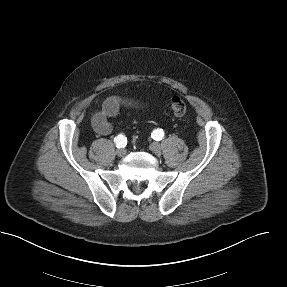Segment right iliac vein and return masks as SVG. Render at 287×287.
Instances as JSON below:
<instances>
[{
    "instance_id": "63e3f726",
    "label": "right iliac vein",
    "mask_w": 287,
    "mask_h": 287,
    "mask_svg": "<svg viewBox=\"0 0 287 287\" xmlns=\"http://www.w3.org/2000/svg\"><path fill=\"white\" fill-rule=\"evenodd\" d=\"M116 155H117L118 157H123V156L126 155V150H125V149H122V148L117 149V150H116Z\"/></svg>"
}]
</instances>
